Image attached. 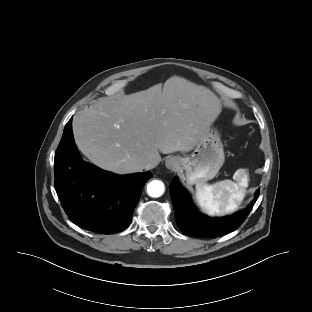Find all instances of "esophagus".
Segmentation results:
<instances>
[{
  "label": "esophagus",
  "instance_id": "esophagus-1",
  "mask_svg": "<svg viewBox=\"0 0 312 312\" xmlns=\"http://www.w3.org/2000/svg\"><path fill=\"white\" fill-rule=\"evenodd\" d=\"M165 166L170 171H175L178 166V160L176 157H168L165 161Z\"/></svg>",
  "mask_w": 312,
  "mask_h": 312
}]
</instances>
